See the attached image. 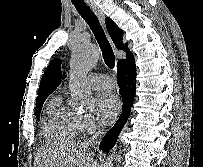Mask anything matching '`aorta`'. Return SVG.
<instances>
[{
  "label": "aorta",
  "mask_w": 203,
  "mask_h": 167,
  "mask_svg": "<svg viewBox=\"0 0 203 167\" xmlns=\"http://www.w3.org/2000/svg\"><path fill=\"white\" fill-rule=\"evenodd\" d=\"M100 57L98 48L82 41L74 50L71 57L70 94L73 101L81 106L91 103L93 96L91 89L85 82L86 74L97 64ZM112 156L107 159L104 167H111Z\"/></svg>",
  "instance_id": "762f6f07"
}]
</instances>
